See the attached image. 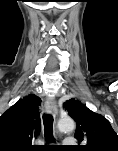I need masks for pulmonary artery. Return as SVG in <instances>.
Instances as JSON below:
<instances>
[{
	"instance_id": "pulmonary-artery-1",
	"label": "pulmonary artery",
	"mask_w": 118,
	"mask_h": 151,
	"mask_svg": "<svg viewBox=\"0 0 118 151\" xmlns=\"http://www.w3.org/2000/svg\"><path fill=\"white\" fill-rule=\"evenodd\" d=\"M75 143V140L73 138H66L64 140V144L66 145H71V144H74Z\"/></svg>"
}]
</instances>
